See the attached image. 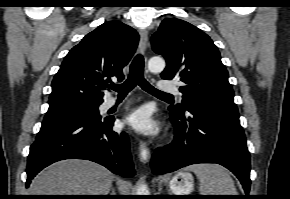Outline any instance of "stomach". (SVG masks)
I'll list each match as a JSON object with an SVG mask.
<instances>
[{"label": "stomach", "instance_id": "1", "mask_svg": "<svg viewBox=\"0 0 290 199\" xmlns=\"http://www.w3.org/2000/svg\"><path fill=\"white\" fill-rule=\"evenodd\" d=\"M193 187V176L186 171L177 172L169 181V188L173 195H188Z\"/></svg>", "mask_w": 290, "mask_h": 199}]
</instances>
